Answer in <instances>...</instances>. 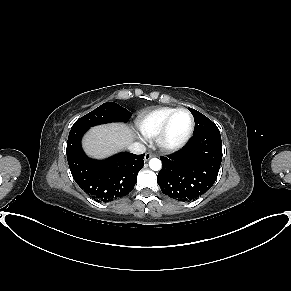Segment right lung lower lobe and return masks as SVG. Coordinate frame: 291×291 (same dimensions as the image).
I'll return each mask as SVG.
<instances>
[{
  "label": "right lung lower lobe",
  "instance_id": "98d812e1",
  "mask_svg": "<svg viewBox=\"0 0 291 291\" xmlns=\"http://www.w3.org/2000/svg\"><path fill=\"white\" fill-rule=\"evenodd\" d=\"M88 129L70 131L67 141V160L76 183L98 202H110L127 195L137 182L144 166V154L121 152L105 160L85 155L81 139Z\"/></svg>",
  "mask_w": 291,
  "mask_h": 291
}]
</instances>
